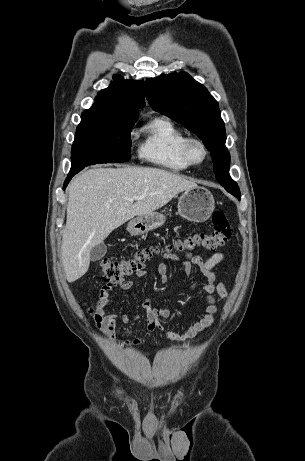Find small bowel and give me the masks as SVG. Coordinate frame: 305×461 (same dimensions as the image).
<instances>
[{"mask_svg":"<svg viewBox=\"0 0 305 461\" xmlns=\"http://www.w3.org/2000/svg\"><path fill=\"white\" fill-rule=\"evenodd\" d=\"M185 260H182L178 255L172 252L163 253V258L170 260L175 263H179L184 273L189 277L192 275L194 269L198 270L201 274L204 283L201 285V290L204 294V300L206 302L205 315L186 332L179 334L174 331L166 330L160 324V319L168 318L171 316L172 311L166 307H154L150 299H145L141 308L147 321V332L144 338H133L125 340L126 345L138 346L145 342L155 332L159 331L163 335L173 341H185L194 339L199 333L212 326L214 323V316L218 310L217 301L214 297V293H217L222 299L228 297V290L224 283H216V276L213 269L222 262L224 254L217 252L211 255L207 259H203L199 255H192L191 253H185ZM157 272L160 277V281L163 284H168L170 281L168 275V267L165 263L161 262L157 266ZM135 275L138 278L145 277L147 270L143 265L141 268L135 271ZM122 290H130L134 283L131 280H121L116 284ZM114 284H105L98 293V299L95 305V321L102 331L110 340L115 339V330L118 316L110 313V303L112 301V291L115 286ZM124 323H131L137 321L139 316L130 317L123 315L121 317Z\"/></svg>","mask_w":305,"mask_h":461,"instance_id":"small-bowel-1","label":"small bowel"}]
</instances>
